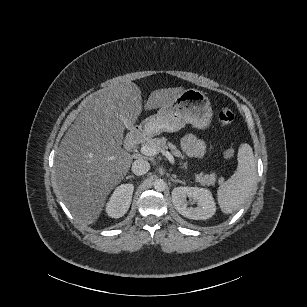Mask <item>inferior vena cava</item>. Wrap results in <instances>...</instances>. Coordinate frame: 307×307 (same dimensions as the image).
I'll use <instances>...</instances> for the list:
<instances>
[{"label":"inferior vena cava","mask_w":307,"mask_h":307,"mask_svg":"<svg viewBox=\"0 0 307 307\" xmlns=\"http://www.w3.org/2000/svg\"><path fill=\"white\" fill-rule=\"evenodd\" d=\"M150 170V164L144 159H137L132 163V171L135 175H141Z\"/></svg>","instance_id":"602c4592"}]
</instances>
